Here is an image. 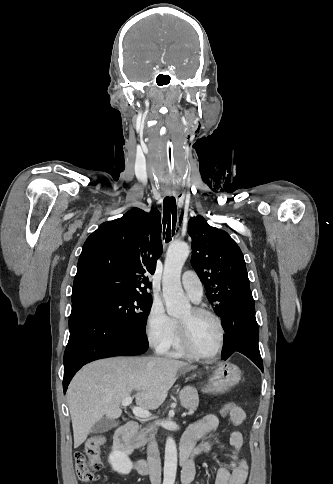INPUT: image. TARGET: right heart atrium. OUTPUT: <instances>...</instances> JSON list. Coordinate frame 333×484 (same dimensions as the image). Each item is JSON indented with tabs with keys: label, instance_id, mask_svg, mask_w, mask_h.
<instances>
[{
	"label": "right heart atrium",
	"instance_id": "right-heart-atrium-1",
	"mask_svg": "<svg viewBox=\"0 0 333 484\" xmlns=\"http://www.w3.org/2000/svg\"><path fill=\"white\" fill-rule=\"evenodd\" d=\"M173 331L174 320L166 313L163 304L153 302L145 319V334L150 346L164 352L172 341Z\"/></svg>",
	"mask_w": 333,
	"mask_h": 484
}]
</instances>
